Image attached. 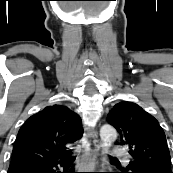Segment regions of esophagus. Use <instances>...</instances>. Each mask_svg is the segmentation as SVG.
Instances as JSON below:
<instances>
[{"label": "esophagus", "instance_id": "esophagus-1", "mask_svg": "<svg viewBox=\"0 0 173 173\" xmlns=\"http://www.w3.org/2000/svg\"><path fill=\"white\" fill-rule=\"evenodd\" d=\"M86 143L83 144V163L90 172H95L99 155V139L96 130L84 128Z\"/></svg>", "mask_w": 173, "mask_h": 173}]
</instances>
